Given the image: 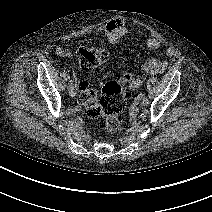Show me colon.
<instances>
[{
  "label": "colon",
  "mask_w": 212,
  "mask_h": 212,
  "mask_svg": "<svg viewBox=\"0 0 212 212\" xmlns=\"http://www.w3.org/2000/svg\"><path fill=\"white\" fill-rule=\"evenodd\" d=\"M79 67L88 72L104 64L108 52L104 48H81L78 52ZM143 78L133 73L124 74L120 80L104 83L100 91L88 88L80 98L88 117L102 119V128L109 132L120 129L127 108L129 90L138 87Z\"/></svg>",
  "instance_id": "1"
}]
</instances>
